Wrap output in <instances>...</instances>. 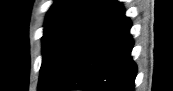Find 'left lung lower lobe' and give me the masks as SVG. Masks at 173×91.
Wrapping results in <instances>:
<instances>
[{
	"label": "left lung lower lobe",
	"instance_id": "0a47b994",
	"mask_svg": "<svg viewBox=\"0 0 173 91\" xmlns=\"http://www.w3.org/2000/svg\"><path fill=\"white\" fill-rule=\"evenodd\" d=\"M130 28L116 1L77 47L51 91H133L137 66Z\"/></svg>",
	"mask_w": 173,
	"mask_h": 91
}]
</instances>
